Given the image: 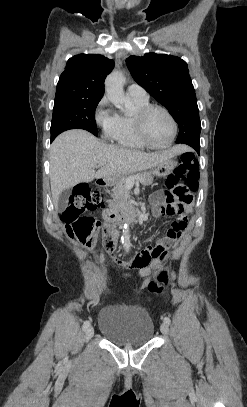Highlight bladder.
<instances>
[{
  "label": "bladder",
  "mask_w": 247,
  "mask_h": 407,
  "mask_svg": "<svg viewBox=\"0 0 247 407\" xmlns=\"http://www.w3.org/2000/svg\"><path fill=\"white\" fill-rule=\"evenodd\" d=\"M99 330L110 342L124 347H138L152 340L150 314L141 305L107 303L99 311Z\"/></svg>",
  "instance_id": "31cf9c89"
}]
</instances>
